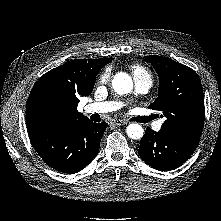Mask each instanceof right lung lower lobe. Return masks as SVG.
Here are the masks:
<instances>
[{"mask_svg":"<svg viewBox=\"0 0 221 221\" xmlns=\"http://www.w3.org/2000/svg\"><path fill=\"white\" fill-rule=\"evenodd\" d=\"M105 122L70 121L54 128L27 127L35 150L45 163L63 173H77L97 155Z\"/></svg>","mask_w":221,"mask_h":221,"instance_id":"1","label":"right lung lower lobe"}]
</instances>
